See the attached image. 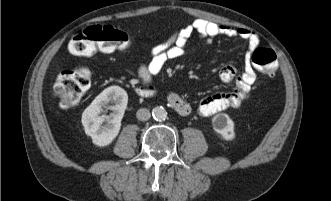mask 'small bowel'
Returning <instances> with one entry per match:
<instances>
[{
	"label": "small bowel",
	"instance_id": "small-bowel-1",
	"mask_svg": "<svg viewBox=\"0 0 331 201\" xmlns=\"http://www.w3.org/2000/svg\"><path fill=\"white\" fill-rule=\"evenodd\" d=\"M194 33L199 35L205 47L211 45L218 36L237 37L247 42L248 50L245 55V67L242 74L237 75L236 68L231 64L223 66L219 72V77L223 83L234 82V89L230 92H218L204 98L196 111L198 115L207 117L228 108H238L250 96L252 85L256 81L252 53L259 44V37L255 32L245 28H235L203 19H195L176 31L166 42L152 48L150 61L141 64L137 70L138 78L142 83L148 85L152 77L158 74L168 61L185 56L188 52L189 39ZM167 100L170 106L182 116L192 112L191 106L176 93H170Z\"/></svg>",
	"mask_w": 331,
	"mask_h": 201
}]
</instances>
